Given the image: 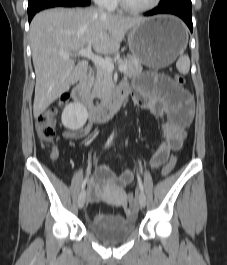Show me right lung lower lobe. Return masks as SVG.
<instances>
[{
	"instance_id": "1",
	"label": "right lung lower lobe",
	"mask_w": 227,
	"mask_h": 265,
	"mask_svg": "<svg viewBox=\"0 0 227 265\" xmlns=\"http://www.w3.org/2000/svg\"><path fill=\"white\" fill-rule=\"evenodd\" d=\"M89 4H90L89 0H43L36 7L28 9L29 22L37 12L43 9L58 7V6H63V7L88 6Z\"/></svg>"
}]
</instances>
